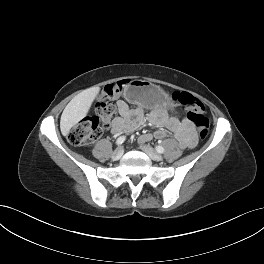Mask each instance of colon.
Wrapping results in <instances>:
<instances>
[{
  "label": "colon",
  "mask_w": 264,
  "mask_h": 264,
  "mask_svg": "<svg viewBox=\"0 0 264 264\" xmlns=\"http://www.w3.org/2000/svg\"><path fill=\"white\" fill-rule=\"evenodd\" d=\"M121 89V83L111 84L105 88L97 101L95 113L83 118L70 131L68 140L72 145H87L100 135L102 128L109 123L115 113L111 98ZM174 99L186 110L187 117L196 127L199 137L205 138L208 134L209 120L205 114L204 105L187 92H176Z\"/></svg>",
  "instance_id": "obj_1"
}]
</instances>
